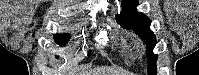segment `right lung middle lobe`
I'll use <instances>...</instances> for the list:
<instances>
[{
	"mask_svg": "<svg viewBox=\"0 0 199 75\" xmlns=\"http://www.w3.org/2000/svg\"><path fill=\"white\" fill-rule=\"evenodd\" d=\"M69 35L68 34H55L54 39L57 44L59 45H64L68 42L69 40Z\"/></svg>",
	"mask_w": 199,
	"mask_h": 75,
	"instance_id": "dd1d6c3e",
	"label": "right lung middle lobe"
}]
</instances>
